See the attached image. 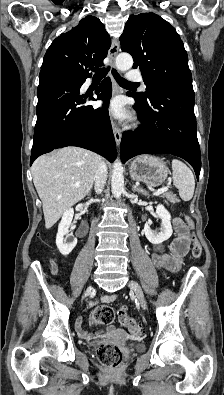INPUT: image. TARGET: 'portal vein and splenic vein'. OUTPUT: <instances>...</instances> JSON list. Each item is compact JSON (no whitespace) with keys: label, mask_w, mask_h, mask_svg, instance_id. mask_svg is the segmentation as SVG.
Returning <instances> with one entry per match:
<instances>
[{"label":"portal vein and splenic vein","mask_w":224,"mask_h":395,"mask_svg":"<svg viewBox=\"0 0 224 395\" xmlns=\"http://www.w3.org/2000/svg\"><path fill=\"white\" fill-rule=\"evenodd\" d=\"M77 187H78V186H77ZM167 190H168V187L160 188V189H158L157 191H155V192L153 193V195L158 196V195H160V194L166 192Z\"/></svg>","instance_id":"1"}]
</instances>
